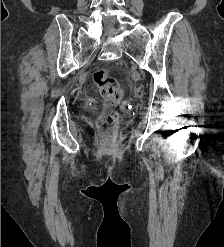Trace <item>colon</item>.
Returning a JSON list of instances; mask_svg holds the SVG:
<instances>
[{
    "mask_svg": "<svg viewBox=\"0 0 224 247\" xmlns=\"http://www.w3.org/2000/svg\"><path fill=\"white\" fill-rule=\"evenodd\" d=\"M93 81L104 98V110L98 122L101 132H110L117 123L115 107L123 97V90L118 81L111 77L106 69H99L93 74Z\"/></svg>",
    "mask_w": 224,
    "mask_h": 247,
    "instance_id": "1",
    "label": "colon"
}]
</instances>
